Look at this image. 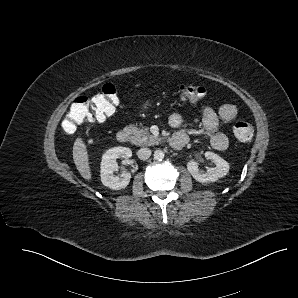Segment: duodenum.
<instances>
[{"label":"duodenum","mask_w":298,"mask_h":298,"mask_svg":"<svg viewBox=\"0 0 298 298\" xmlns=\"http://www.w3.org/2000/svg\"><path fill=\"white\" fill-rule=\"evenodd\" d=\"M117 140L121 143H129L131 141V132L129 129L124 128L117 133ZM189 139L184 134H174L169 139V144L174 149H182L187 143Z\"/></svg>","instance_id":"duodenum-1"}]
</instances>
